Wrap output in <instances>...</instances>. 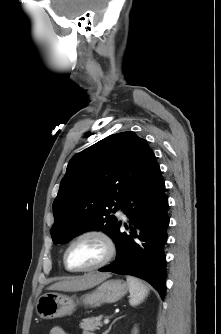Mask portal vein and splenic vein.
Instances as JSON below:
<instances>
[{
  "label": "portal vein and splenic vein",
  "mask_w": 221,
  "mask_h": 334,
  "mask_svg": "<svg viewBox=\"0 0 221 334\" xmlns=\"http://www.w3.org/2000/svg\"><path fill=\"white\" fill-rule=\"evenodd\" d=\"M109 323V320L108 319H105L104 320V324H108Z\"/></svg>",
  "instance_id": "obj_1"
}]
</instances>
